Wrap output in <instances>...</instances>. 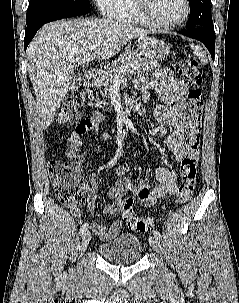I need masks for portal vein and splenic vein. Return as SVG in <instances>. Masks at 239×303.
<instances>
[{
    "mask_svg": "<svg viewBox=\"0 0 239 303\" xmlns=\"http://www.w3.org/2000/svg\"><path fill=\"white\" fill-rule=\"evenodd\" d=\"M96 48H97L96 45H92V46L89 47V50L92 52V51H94ZM126 68H127V67H126ZM125 71H126V70H125Z\"/></svg>",
    "mask_w": 239,
    "mask_h": 303,
    "instance_id": "18ae733b",
    "label": "portal vein and splenic vein"
}]
</instances>
